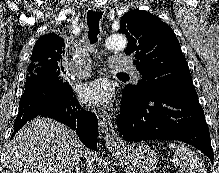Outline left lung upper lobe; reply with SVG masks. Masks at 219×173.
Segmentation results:
<instances>
[{
  "label": "left lung upper lobe",
  "mask_w": 219,
  "mask_h": 173,
  "mask_svg": "<svg viewBox=\"0 0 219 173\" xmlns=\"http://www.w3.org/2000/svg\"><path fill=\"white\" fill-rule=\"evenodd\" d=\"M120 32L128 38L126 54L143 79L124 91L137 99L195 90L186 59L174 31L157 16L143 10L127 12Z\"/></svg>",
  "instance_id": "left-lung-upper-lobe-1"
}]
</instances>
